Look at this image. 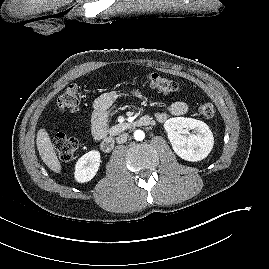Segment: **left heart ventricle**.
Here are the masks:
<instances>
[{
    "instance_id": "obj_1",
    "label": "left heart ventricle",
    "mask_w": 269,
    "mask_h": 269,
    "mask_svg": "<svg viewBox=\"0 0 269 269\" xmlns=\"http://www.w3.org/2000/svg\"><path fill=\"white\" fill-rule=\"evenodd\" d=\"M38 1H42L43 2V1H46V0H38Z\"/></svg>"
}]
</instances>
